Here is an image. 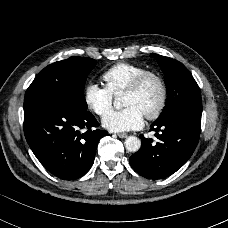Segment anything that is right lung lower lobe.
<instances>
[{
	"label": "right lung lower lobe",
	"mask_w": 228,
	"mask_h": 228,
	"mask_svg": "<svg viewBox=\"0 0 228 228\" xmlns=\"http://www.w3.org/2000/svg\"><path fill=\"white\" fill-rule=\"evenodd\" d=\"M87 110L54 97L24 101V133L40 163L64 180L82 177L91 168L99 140L108 134ZM82 129H87L85 132Z\"/></svg>",
	"instance_id": "98d812e1"
}]
</instances>
